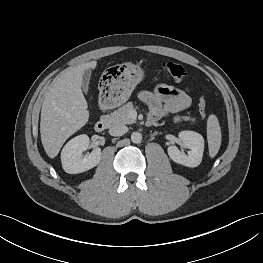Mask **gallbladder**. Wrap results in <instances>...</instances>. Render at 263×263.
Listing matches in <instances>:
<instances>
[{
  "instance_id": "obj_1",
  "label": "gallbladder",
  "mask_w": 263,
  "mask_h": 263,
  "mask_svg": "<svg viewBox=\"0 0 263 263\" xmlns=\"http://www.w3.org/2000/svg\"><path fill=\"white\" fill-rule=\"evenodd\" d=\"M90 76H91V70L86 69L84 71L83 79H82V88H83V92L85 94H87V92H88V85H89Z\"/></svg>"
}]
</instances>
